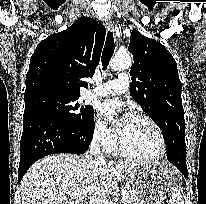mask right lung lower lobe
<instances>
[{"instance_id":"right-lung-lower-lobe-1","label":"right lung lower lobe","mask_w":206,"mask_h":204,"mask_svg":"<svg viewBox=\"0 0 206 204\" xmlns=\"http://www.w3.org/2000/svg\"><path fill=\"white\" fill-rule=\"evenodd\" d=\"M93 129L94 120L87 126H77L47 113L23 115L18 182L42 157L55 153H85L92 140Z\"/></svg>"}]
</instances>
